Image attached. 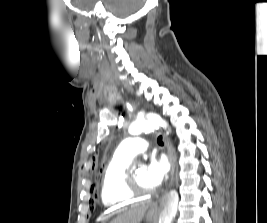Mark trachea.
I'll list each match as a JSON object with an SVG mask.
<instances>
[{"label": "trachea", "mask_w": 267, "mask_h": 223, "mask_svg": "<svg viewBox=\"0 0 267 223\" xmlns=\"http://www.w3.org/2000/svg\"><path fill=\"white\" fill-rule=\"evenodd\" d=\"M157 143H158L159 145H163V144H164V143H163V138H162L161 135L157 138Z\"/></svg>", "instance_id": "obj_1"}]
</instances>
